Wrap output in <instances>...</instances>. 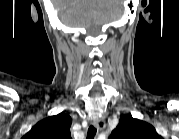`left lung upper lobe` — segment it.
I'll use <instances>...</instances> for the list:
<instances>
[{
    "label": "left lung upper lobe",
    "instance_id": "obj_1",
    "mask_svg": "<svg viewBox=\"0 0 179 139\" xmlns=\"http://www.w3.org/2000/svg\"><path fill=\"white\" fill-rule=\"evenodd\" d=\"M111 139H159L154 127L149 123L135 119L130 115L120 118L118 126L113 130Z\"/></svg>",
    "mask_w": 179,
    "mask_h": 139
}]
</instances>
